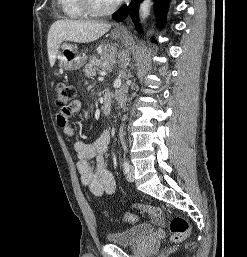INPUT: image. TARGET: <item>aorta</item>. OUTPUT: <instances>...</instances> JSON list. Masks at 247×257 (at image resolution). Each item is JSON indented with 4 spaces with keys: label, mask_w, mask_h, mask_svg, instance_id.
<instances>
[{
    "label": "aorta",
    "mask_w": 247,
    "mask_h": 257,
    "mask_svg": "<svg viewBox=\"0 0 247 257\" xmlns=\"http://www.w3.org/2000/svg\"><path fill=\"white\" fill-rule=\"evenodd\" d=\"M151 5H152V0H143L142 1L141 5H140V9H139L141 23H144L146 21V19L148 18L149 14H150Z\"/></svg>",
    "instance_id": "aorta-1"
}]
</instances>
